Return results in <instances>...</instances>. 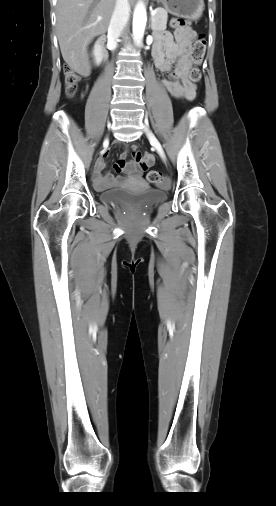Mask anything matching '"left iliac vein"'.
Instances as JSON below:
<instances>
[{
    "instance_id": "4c4485c4",
    "label": "left iliac vein",
    "mask_w": 276,
    "mask_h": 506,
    "mask_svg": "<svg viewBox=\"0 0 276 506\" xmlns=\"http://www.w3.org/2000/svg\"><path fill=\"white\" fill-rule=\"evenodd\" d=\"M144 130H145L146 135L148 136L149 140L151 141V143L155 146L156 150L158 151L160 156L165 161V155H164L162 146H161L160 142L158 141V139L155 137V135L152 133V131L149 129V127L147 125H145Z\"/></svg>"
}]
</instances>
